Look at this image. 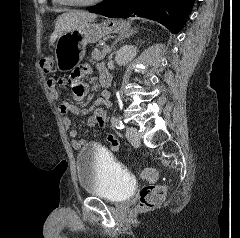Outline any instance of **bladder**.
<instances>
[{
	"instance_id": "1",
	"label": "bladder",
	"mask_w": 240,
	"mask_h": 238,
	"mask_svg": "<svg viewBox=\"0 0 240 238\" xmlns=\"http://www.w3.org/2000/svg\"><path fill=\"white\" fill-rule=\"evenodd\" d=\"M76 170L81 189L89 196L120 203L134 192L131 174L104 148L84 146L76 157Z\"/></svg>"
}]
</instances>
